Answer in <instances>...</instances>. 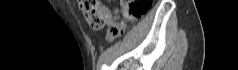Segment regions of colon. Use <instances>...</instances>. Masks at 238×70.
<instances>
[{"mask_svg": "<svg viewBox=\"0 0 238 70\" xmlns=\"http://www.w3.org/2000/svg\"><path fill=\"white\" fill-rule=\"evenodd\" d=\"M79 8L89 25L94 29H101L108 20V13L102 9L97 0H79ZM151 5V0H123L122 12L127 20L133 21L143 16ZM113 33L122 32L118 28L111 30Z\"/></svg>", "mask_w": 238, "mask_h": 70, "instance_id": "5ec220e1", "label": "colon"}]
</instances>
